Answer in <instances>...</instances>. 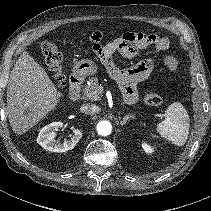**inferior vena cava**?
I'll list each match as a JSON object with an SVG mask.
<instances>
[{"label": "inferior vena cava", "mask_w": 211, "mask_h": 211, "mask_svg": "<svg viewBox=\"0 0 211 211\" xmlns=\"http://www.w3.org/2000/svg\"><path fill=\"white\" fill-rule=\"evenodd\" d=\"M81 111L86 114H94L95 112L98 111V107L96 105L89 103V104L83 105L81 108Z\"/></svg>", "instance_id": "inferior-vena-cava-1"}]
</instances>
